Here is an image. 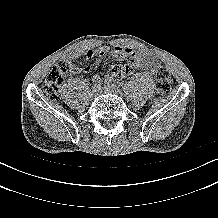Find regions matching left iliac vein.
Wrapping results in <instances>:
<instances>
[{"label":"left iliac vein","mask_w":218,"mask_h":218,"mask_svg":"<svg viewBox=\"0 0 218 218\" xmlns=\"http://www.w3.org/2000/svg\"><path fill=\"white\" fill-rule=\"evenodd\" d=\"M103 92L116 94L118 96H122V91L118 87H114L113 84H108L102 88Z\"/></svg>","instance_id":"1"}]
</instances>
